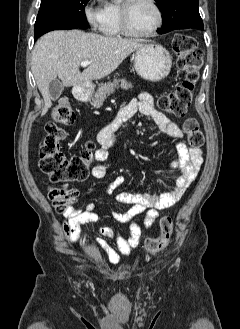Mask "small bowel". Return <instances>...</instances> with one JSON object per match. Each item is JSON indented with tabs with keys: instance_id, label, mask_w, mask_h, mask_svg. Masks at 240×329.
<instances>
[{
	"instance_id": "c3829d8e",
	"label": "small bowel",
	"mask_w": 240,
	"mask_h": 329,
	"mask_svg": "<svg viewBox=\"0 0 240 329\" xmlns=\"http://www.w3.org/2000/svg\"><path fill=\"white\" fill-rule=\"evenodd\" d=\"M138 114L150 118L163 135L176 141L177 156L172 165L180 171V175L168 192L153 194L124 191L116 195L115 199L119 204L130 205V208L125 212L112 211V217L119 223H129V236H122L111 226H103L97 230L98 237L96 238V244L112 265H118L122 258L131 255L139 245L143 234L158 218L160 210L178 203L197 176L203 162L200 150L187 147L182 141L183 133L179 127L156 108L154 99L149 93L143 92L122 107L113 120L99 132L98 140L101 147L94 152L95 164L91 168L94 178H103L107 173L109 151L116 143L115 131L121 125L132 121ZM124 182L125 178L118 176L100 190L107 193L112 192ZM94 209L95 204L89 202L82 209L70 208L68 210V221L63 224V231L70 243L75 244L80 240L82 225L104 222V219ZM141 214L144 215L143 227L135 221V218Z\"/></svg>"
}]
</instances>
